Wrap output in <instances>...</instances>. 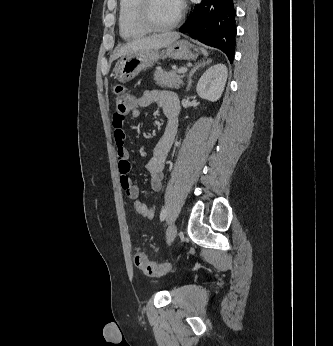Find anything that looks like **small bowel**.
Here are the masks:
<instances>
[{"label":"small bowel","mask_w":333,"mask_h":346,"mask_svg":"<svg viewBox=\"0 0 333 346\" xmlns=\"http://www.w3.org/2000/svg\"><path fill=\"white\" fill-rule=\"evenodd\" d=\"M152 103H155L160 107L167 121L165 132L158 141L154 153L147 163V170L150 173L151 189L158 193L162 189L163 169L166 156L177 134V114L179 104L176 94L172 91L164 89L146 90L135 100V106L131 110L130 119L132 121L136 120L140 116L139 108L147 107ZM113 127L115 128V140L118 145L116 155L121 187L126 192V195L132 200L133 209L140 216L147 219H153L155 216L154 207L147 206L138 199L140 189L129 177L131 171L130 152L123 146L126 139L124 118L121 116H114Z\"/></svg>","instance_id":"c3829d8e"}]
</instances>
